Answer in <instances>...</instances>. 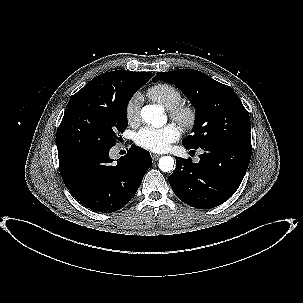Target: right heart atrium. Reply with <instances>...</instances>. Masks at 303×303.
<instances>
[{"mask_svg":"<svg viewBox=\"0 0 303 303\" xmlns=\"http://www.w3.org/2000/svg\"><path fill=\"white\" fill-rule=\"evenodd\" d=\"M141 97L134 94L126 103L125 116L129 124H136L140 120Z\"/></svg>","mask_w":303,"mask_h":303,"instance_id":"right-heart-atrium-1","label":"right heart atrium"}]
</instances>
